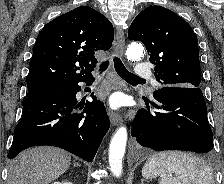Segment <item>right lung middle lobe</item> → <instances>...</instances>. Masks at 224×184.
Segmentation results:
<instances>
[{
    "instance_id": "right-lung-middle-lobe-1",
    "label": "right lung middle lobe",
    "mask_w": 224,
    "mask_h": 184,
    "mask_svg": "<svg viewBox=\"0 0 224 184\" xmlns=\"http://www.w3.org/2000/svg\"><path fill=\"white\" fill-rule=\"evenodd\" d=\"M48 87H51V86H31V87H28V95L32 94L34 92L43 90V89L48 88Z\"/></svg>"
}]
</instances>
